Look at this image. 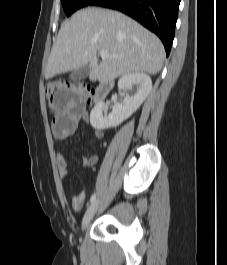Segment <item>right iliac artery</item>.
I'll use <instances>...</instances> for the list:
<instances>
[{
    "mask_svg": "<svg viewBox=\"0 0 227 265\" xmlns=\"http://www.w3.org/2000/svg\"><path fill=\"white\" fill-rule=\"evenodd\" d=\"M96 199V193H94L90 198V203H93Z\"/></svg>",
    "mask_w": 227,
    "mask_h": 265,
    "instance_id": "82829eb1",
    "label": "right iliac artery"
}]
</instances>
